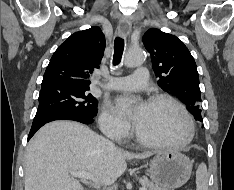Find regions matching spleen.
Here are the masks:
<instances>
[{
	"label": "spleen",
	"mask_w": 234,
	"mask_h": 190,
	"mask_svg": "<svg viewBox=\"0 0 234 190\" xmlns=\"http://www.w3.org/2000/svg\"><path fill=\"white\" fill-rule=\"evenodd\" d=\"M196 190H209L207 167L204 163H201L196 171Z\"/></svg>",
	"instance_id": "obj_1"
}]
</instances>
